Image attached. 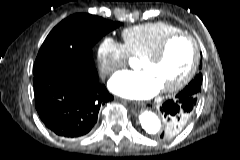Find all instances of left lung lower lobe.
<instances>
[{
	"label": "left lung lower lobe",
	"instance_id": "left-lung-lower-lobe-1",
	"mask_svg": "<svg viewBox=\"0 0 240 160\" xmlns=\"http://www.w3.org/2000/svg\"><path fill=\"white\" fill-rule=\"evenodd\" d=\"M193 87L185 88L176 95L174 100H168L160 108L164 115L170 131H174L186 124L179 123L181 116L192 113L197 104L198 94Z\"/></svg>",
	"mask_w": 240,
	"mask_h": 160
}]
</instances>
